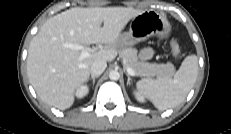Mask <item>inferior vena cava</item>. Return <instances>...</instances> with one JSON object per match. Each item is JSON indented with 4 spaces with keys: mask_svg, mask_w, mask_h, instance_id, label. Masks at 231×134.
<instances>
[{
    "mask_svg": "<svg viewBox=\"0 0 231 134\" xmlns=\"http://www.w3.org/2000/svg\"><path fill=\"white\" fill-rule=\"evenodd\" d=\"M107 63L105 61H96L91 65L90 71L92 76H100L106 69Z\"/></svg>",
    "mask_w": 231,
    "mask_h": 134,
    "instance_id": "inferior-vena-cava-1",
    "label": "inferior vena cava"
}]
</instances>
